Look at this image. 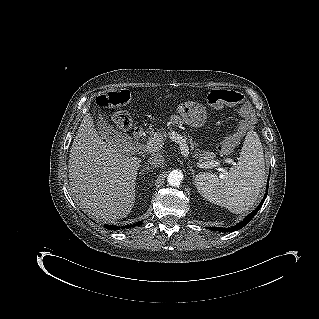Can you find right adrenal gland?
Listing matches in <instances>:
<instances>
[{
    "label": "right adrenal gland",
    "mask_w": 319,
    "mask_h": 319,
    "mask_svg": "<svg viewBox=\"0 0 319 319\" xmlns=\"http://www.w3.org/2000/svg\"><path fill=\"white\" fill-rule=\"evenodd\" d=\"M151 169H152L151 167L147 166V167H145V168L142 169V172H143V171H144V172H145V171H149V170H151Z\"/></svg>",
    "instance_id": "obj_1"
}]
</instances>
